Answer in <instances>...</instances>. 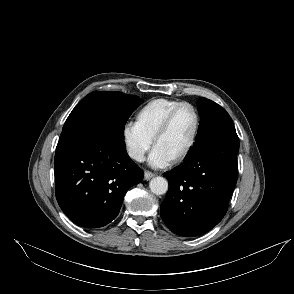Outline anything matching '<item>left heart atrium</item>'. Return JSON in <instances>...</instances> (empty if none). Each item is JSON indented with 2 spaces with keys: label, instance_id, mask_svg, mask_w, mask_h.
<instances>
[{
  "label": "left heart atrium",
  "instance_id": "1",
  "mask_svg": "<svg viewBox=\"0 0 294 294\" xmlns=\"http://www.w3.org/2000/svg\"><path fill=\"white\" fill-rule=\"evenodd\" d=\"M173 160L164 154L159 148L154 147L149 155L148 162L152 167L163 168L171 164Z\"/></svg>",
  "mask_w": 294,
  "mask_h": 294
}]
</instances>
